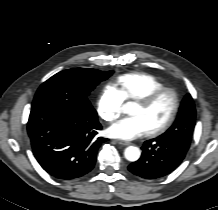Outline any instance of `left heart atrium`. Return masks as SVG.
Listing matches in <instances>:
<instances>
[{"instance_id":"1","label":"left heart atrium","mask_w":218,"mask_h":210,"mask_svg":"<svg viewBox=\"0 0 218 210\" xmlns=\"http://www.w3.org/2000/svg\"><path fill=\"white\" fill-rule=\"evenodd\" d=\"M149 132L141 117L124 118L107 129L109 136L122 140H132L146 135Z\"/></svg>"}]
</instances>
